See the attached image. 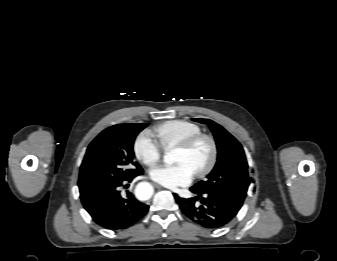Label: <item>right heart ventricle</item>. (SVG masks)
<instances>
[{
    "mask_svg": "<svg viewBox=\"0 0 337 261\" xmlns=\"http://www.w3.org/2000/svg\"><path fill=\"white\" fill-rule=\"evenodd\" d=\"M160 144L165 149L177 147L192 136L202 133L199 125L185 120H171L154 128Z\"/></svg>",
    "mask_w": 337,
    "mask_h": 261,
    "instance_id": "1",
    "label": "right heart ventricle"
}]
</instances>
